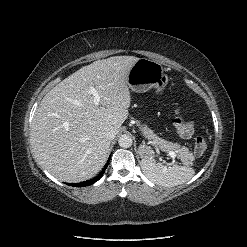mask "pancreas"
Here are the masks:
<instances>
[{"label":"pancreas","mask_w":247,"mask_h":247,"mask_svg":"<svg viewBox=\"0 0 247 247\" xmlns=\"http://www.w3.org/2000/svg\"><path fill=\"white\" fill-rule=\"evenodd\" d=\"M143 135L153 140V142L162 150L165 152L168 151H174L176 152L177 156L181 158L185 163H189L193 160V154L189 152V149L187 147H182L177 143H172L169 141H166L164 139H161L154 134L152 130H150L147 127L142 128Z\"/></svg>","instance_id":"obj_1"}]
</instances>
